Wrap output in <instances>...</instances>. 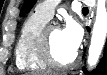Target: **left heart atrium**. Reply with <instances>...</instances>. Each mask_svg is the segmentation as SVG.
I'll use <instances>...</instances> for the list:
<instances>
[{"label": "left heart atrium", "instance_id": "left-heart-atrium-1", "mask_svg": "<svg viewBox=\"0 0 107 75\" xmlns=\"http://www.w3.org/2000/svg\"><path fill=\"white\" fill-rule=\"evenodd\" d=\"M61 33L66 45L72 51L76 52L83 37V31L80 25L74 20H69L61 30Z\"/></svg>", "mask_w": 107, "mask_h": 75}]
</instances>
